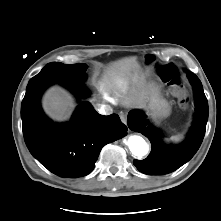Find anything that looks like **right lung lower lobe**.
Listing matches in <instances>:
<instances>
[{"mask_svg": "<svg viewBox=\"0 0 221 221\" xmlns=\"http://www.w3.org/2000/svg\"><path fill=\"white\" fill-rule=\"evenodd\" d=\"M60 83L78 97H86L83 83H68L48 77H33L21 105L23 135L30 153L49 171L77 178L89 174L102 147L127 134L117 114H98L88 102H82L68 123L49 120L40 106L43 91Z\"/></svg>", "mask_w": 221, "mask_h": 221, "instance_id": "98d812e1", "label": "right lung lower lobe"}]
</instances>
